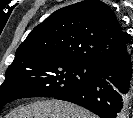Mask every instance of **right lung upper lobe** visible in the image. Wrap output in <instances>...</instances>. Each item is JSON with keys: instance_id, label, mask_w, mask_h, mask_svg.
Here are the masks:
<instances>
[{"instance_id": "obj_1", "label": "right lung upper lobe", "mask_w": 133, "mask_h": 118, "mask_svg": "<svg viewBox=\"0 0 133 118\" xmlns=\"http://www.w3.org/2000/svg\"><path fill=\"white\" fill-rule=\"evenodd\" d=\"M126 50L127 34L111 8L102 1L85 0L55 11L35 27L8 69L47 58L98 68Z\"/></svg>"}]
</instances>
